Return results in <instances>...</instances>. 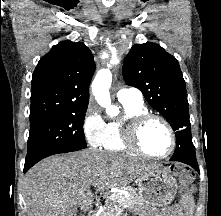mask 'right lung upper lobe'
I'll list each match as a JSON object with an SVG mask.
<instances>
[{
    "instance_id": "obj_1",
    "label": "right lung upper lobe",
    "mask_w": 221,
    "mask_h": 216,
    "mask_svg": "<svg viewBox=\"0 0 221 216\" xmlns=\"http://www.w3.org/2000/svg\"><path fill=\"white\" fill-rule=\"evenodd\" d=\"M95 62L82 42L63 41L40 59L32 77L30 120L87 107Z\"/></svg>"
}]
</instances>
